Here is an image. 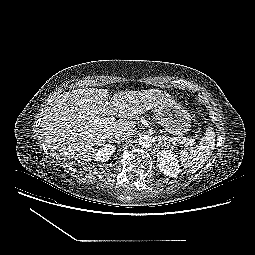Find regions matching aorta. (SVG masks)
Masks as SVG:
<instances>
[{
	"label": "aorta",
	"instance_id": "obj_1",
	"mask_svg": "<svg viewBox=\"0 0 255 255\" xmlns=\"http://www.w3.org/2000/svg\"><path fill=\"white\" fill-rule=\"evenodd\" d=\"M139 145L143 148H150L153 144V139L147 134L139 136L138 139Z\"/></svg>",
	"mask_w": 255,
	"mask_h": 255
}]
</instances>
